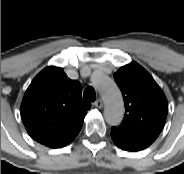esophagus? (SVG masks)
I'll use <instances>...</instances> for the list:
<instances>
[{
  "label": "esophagus",
  "mask_w": 184,
  "mask_h": 174,
  "mask_svg": "<svg viewBox=\"0 0 184 174\" xmlns=\"http://www.w3.org/2000/svg\"><path fill=\"white\" fill-rule=\"evenodd\" d=\"M94 106L97 107V108H102L103 107V101L101 99H97L94 102Z\"/></svg>",
  "instance_id": "obj_1"
}]
</instances>
